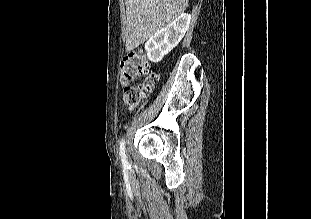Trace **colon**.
<instances>
[{"mask_svg": "<svg viewBox=\"0 0 311 219\" xmlns=\"http://www.w3.org/2000/svg\"><path fill=\"white\" fill-rule=\"evenodd\" d=\"M140 76H145V80L139 84H131ZM120 79L125 85L123 89V99L128 108H135L148 93L155 80L156 74L149 71L148 62L144 53L139 50L125 56L120 65Z\"/></svg>", "mask_w": 311, "mask_h": 219, "instance_id": "obj_1", "label": "colon"}]
</instances>
